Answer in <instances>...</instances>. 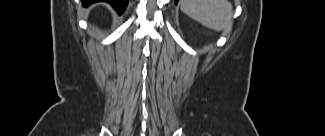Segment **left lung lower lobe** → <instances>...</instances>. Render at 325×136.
<instances>
[{
	"instance_id": "left-lung-lower-lobe-1",
	"label": "left lung lower lobe",
	"mask_w": 325,
	"mask_h": 136,
	"mask_svg": "<svg viewBox=\"0 0 325 136\" xmlns=\"http://www.w3.org/2000/svg\"><path fill=\"white\" fill-rule=\"evenodd\" d=\"M174 1H175V4H177L179 0H174Z\"/></svg>"
}]
</instances>
